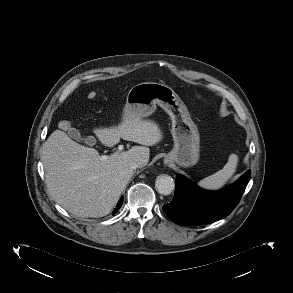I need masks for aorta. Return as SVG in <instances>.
<instances>
[{"mask_svg":"<svg viewBox=\"0 0 293 293\" xmlns=\"http://www.w3.org/2000/svg\"><path fill=\"white\" fill-rule=\"evenodd\" d=\"M156 190L162 195H169L173 192L175 183L169 175H159L155 181Z\"/></svg>","mask_w":293,"mask_h":293,"instance_id":"aorta-1","label":"aorta"}]
</instances>
